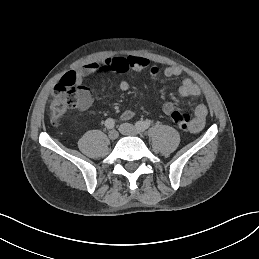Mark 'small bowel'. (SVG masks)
<instances>
[{
    "label": "small bowel",
    "instance_id": "c3829d8e",
    "mask_svg": "<svg viewBox=\"0 0 259 259\" xmlns=\"http://www.w3.org/2000/svg\"><path fill=\"white\" fill-rule=\"evenodd\" d=\"M128 70H147L152 77L159 75V69L155 65H151L150 61L142 56H127V57H109L104 60L88 63L82 68L73 71L78 84L90 76L98 75L105 72H126ZM182 73L181 69L176 66H168L163 70L166 77H177ZM121 91H128L130 85L127 81H122L119 85ZM201 91L200 88L193 83L192 80L185 78L181 81L179 87V94L183 98L198 97ZM174 110L172 102H166L163 105V112L171 114ZM208 114L207 107L204 104H199L194 110V117L191 120L189 130L192 133L200 132L205 125L206 117ZM134 116L132 110H126L122 113L123 120L131 119Z\"/></svg>",
    "mask_w": 259,
    "mask_h": 259
}]
</instances>
